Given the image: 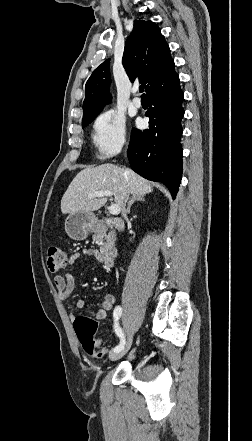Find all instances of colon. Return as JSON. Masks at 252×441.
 Returning <instances> with one entry per match:
<instances>
[{
    "label": "colon",
    "mask_w": 252,
    "mask_h": 441,
    "mask_svg": "<svg viewBox=\"0 0 252 441\" xmlns=\"http://www.w3.org/2000/svg\"><path fill=\"white\" fill-rule=\"evenodd\" d=\"M68 263L66 253L57 246H52L47 252V267L51 272H57ZM98 320L94 317L80 316L74 320V329L85 352L93 357L101 358L104 350L98 348L94 335Z\"/></svg>",
    "instance_id": "colon-1"
}]
</instances>
